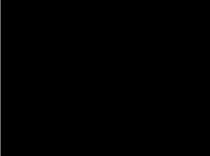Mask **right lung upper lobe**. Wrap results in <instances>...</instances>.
Returning <instances> with one entry per match:
<instances>
[{
  "instance_id": "right-lung-upper-lobe-1",
  "label": "right lung upper lobe",
  "mask_w": 210,
  "mask_h": 156,
  "mask_svg": "<svg viewBox=\"0 0 210 156\" xmlns=\"http://www.w3.org/2000/svg\"><path fill=\"white\" fill-rule=\"evenodd\" d=\"M63 67L58 66L42 85L36 100V118L48 141L70 145L89 132L92 121L79 104V80Z\"/></svg>"
}]
</instances>
